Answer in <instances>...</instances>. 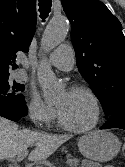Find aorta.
<instances>
[{
    "instance_id": "762f6f07",
    "label": "aorta",
    "mask_w": 125,
    "mask_h": 167,
    "mask_svg": "<svg viewBox=\"0 0 125 167\" xmlns=\"http://www.w3.org/2000/svg\"><path fill=\"white\" fill-rule=\"evenodd\" d=\"M67 33L68 21L66 17L61 16L52 19L42 36L43 48L45 50L55 48L65 39ZM37 75L44 100L47 103L53 102L62 91V85L57 81L51 69L45 64L40 66Z\"/></svg>"
}]
</instances>
